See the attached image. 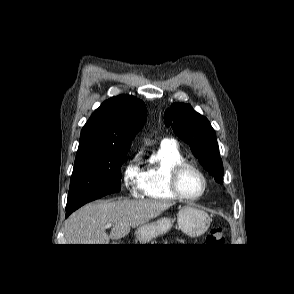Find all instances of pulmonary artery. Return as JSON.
I'll return each mask as SVG.
<instances>
[{"label":"pulmonary artery","mask_w":294,"mask_h":294,"mask_svg":"<svg viewBox=\"0 0 294 294\" xmlns=\"http://www.w3.org/2000/svg\"><path fill=\"white\" fill-rule=\"evenodd\" d=\"M161 143L162 144L175 145V142L172 139H164Z\"/></svg>","instance_id":"obj_1"}]
</instances>
